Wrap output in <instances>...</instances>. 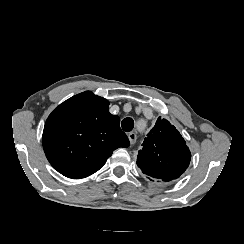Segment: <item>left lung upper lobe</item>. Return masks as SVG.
<instances>
[{"instance_id": "5c2ea615", "label": "left lung upper lobe", "mask_w": 244, "mask_h": 244, "mask_svg": "<svg viewBox=\"0 0 244 244\" xmlns=\"http://www.w3.org/2000/svg\"><path fill=\"white\" fill-rule=\"evenodd\" d=\"M138 152L137 165L152 181L169 182L182 175L191 160L185 140L169 121L159 117Z\"/></svg>"}]
</instances>
